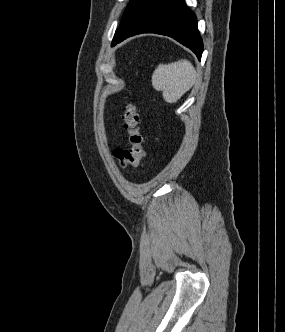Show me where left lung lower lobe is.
Wrapping results in <instances>:
<instances>
[{"instance_id":"left-lung-lower-lobe-1","label":"left lung lower lobe","mask_w":285,"mask_h":332,"mask_svg":"<svg viewBox=\"0 0 285 332\" xmlns=\"http://www.w3.org/2000/svg\"><path fill=\"white\" fill-rule=\"evenodd\" d=\"M141 33L172 37L191 49L199 60L201 59L203 42L198 31L196 16L187 8L184 0H152L112 41V46Z\"/></svg>"}]
</instances>
